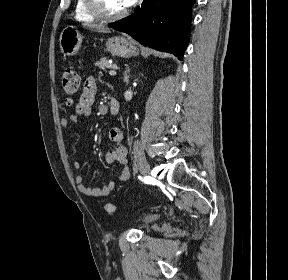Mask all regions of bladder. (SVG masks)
Returning a JSON list of instances; mask_svg holds the SVG:
<instances>
[{"label":"bladder","mask_w":288,"mask_h":280,"mask_svg":"<svg viewBox=\"0 0 288 280\" xmlns=\"http://www.w3.org/2000/svg\"><path fill=\"white\" fill-rule=\"evenodd\" d=\"M160 219V216L158 214H148L146 216H144L141 221L146 224V225H149V224H153L155 223L156 221H158Z\"/></svg>","instance_id":"1"}]
</instances>
